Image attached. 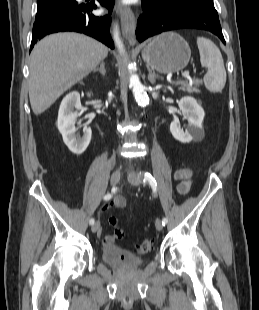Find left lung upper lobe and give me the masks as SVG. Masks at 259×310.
I'll return each instance as SVG.
<instances>
[{
    "mask_svg": "<svg viewBox=\"0 0 259 310\" xmlns=\"http://www.w3.org/2000/svg\"><path fill=\"white\" fill-rule=\"evenodd\" d=\"M152 3L161 8L171 9L174 7L192 4V3H209L213 4V0H150Z\"/></svg>",
    "mask_w": 259,
    "mask_h": 310,
    "instance_id": "obj_1",
    "label": "left lung upper lobe"
}]
</instances>
